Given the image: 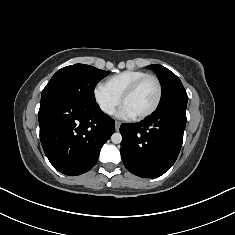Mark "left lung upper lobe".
Listing matches in <instances>:
<instances>
[{"label": "left lung upper lobe", "instance_id": "1", "mask_svg": "<svg viewBox=\"0 0 235 235\" xmlns=\"http://www.w3.org/2000/svg\"><path fill=\"white\" fill-rule=\"evenodd\" d=\"M147 68L157 74L162 87V97L155 112L172 107L186 108L188 96L180 79L161 65L153 64L147 66Z\"/></svg>", "mask_w": 235, "mask_h": 235}]
</instances>
